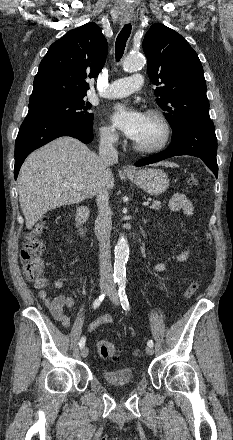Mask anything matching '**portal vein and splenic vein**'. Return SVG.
<instances>
[{"mask_svg":"<svg viewBox=\"0 0 233 440\" xmlns=\"http://www.w3.org/2000/svg\"><path fill=\"white\" fill-rule=\"evenodd\" d=\"M71 186L78 191H82L84 189V187L81 185L72 184ZM149 204L150 203L148 201L143 203L144 206H148Z\"/></svg>","mask_w":233,"mask_h":440,"instance_id":"1","label":"portal vein and splenic vein"}]
</instances>
